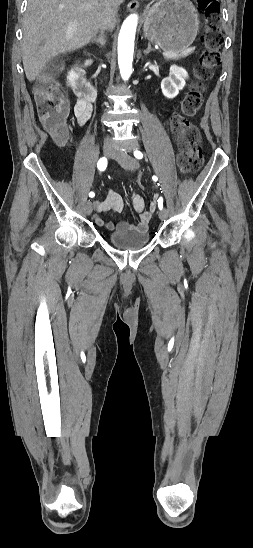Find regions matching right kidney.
Segmentation results:
<instances>
[{"mask_svg":"<svg viewBox=\"0 0 253 548\" xmlns=\"http://www.w3.org/2000/svg\"><path fill=\"white\" fill-rule=\"evenodd\" d=\"M77 78H78L77 74L74 71H70L67 76V81L69 85L74 84Z\"/></svg>","mask_w":253,"mask_h":548,"instance_id":"1","label":"right kidney"}]
</instances>
